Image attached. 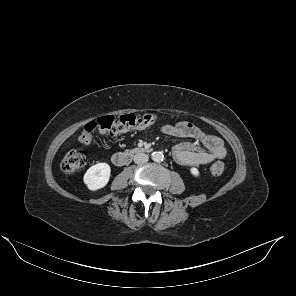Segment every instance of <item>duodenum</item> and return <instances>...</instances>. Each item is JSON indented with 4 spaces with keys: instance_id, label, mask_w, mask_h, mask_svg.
<instances>
[{
    "instance_id": "410a0bca",
    "label": "duodenum",
    "mask_w": 296,
    "mask_h": 296,
    "mask_svg": "<svg viewBox=\"0 0 296 296\" xmlns=\"http://www.w3.org/2000/svg\"><path fill=\"white\" fill-rule=\"evenodd\" d=\"M152 149L150 147H144L138 150H133V151H127V152H117L113 155L112 157V161L113 164L116 166H125L127 164H129L131 162V160L133 159V157L136 154L139 153H148L150 152Z\"/></svg>"
}]
</instances>
